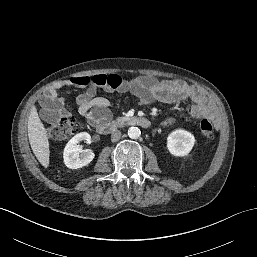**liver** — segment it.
<instances>
[{
  "label": "liver",
  "mask_w": 257,
  "mask_h": 257,
  "mask_svg": "<svg viewBox=\"0 0 257 257\" xmlns=\"http://www.w3.org/2000/svg\"><path fill=\"white\" fill-rule=\"evenodd\" d=\"M27 128L31 149L41 165L47 168L50 157L48 135L35 106L30 110Z\"/></svg>",
  "instance_id": "1"
}]
</instances>
